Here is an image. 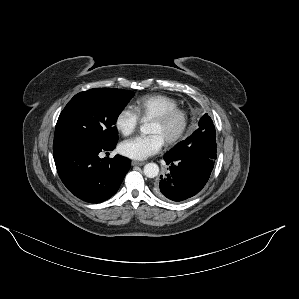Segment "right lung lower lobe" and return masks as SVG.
<instances>
[{
	"label": "right lung lower lobe",
	"mask_w": 299,
	"mask_h": 299,
	"mask_svg": "<svg viewBox=\"0 0 299 299\" xmlns=\"http://www.w3.org/2000/svg\"><path fill=\"white\" fill-rule=\"evenodd\" d=\"M101 148L73 145L53 152L57 172L66 188L78 198L100 203L113 196L130 168V160L116 155L99 158Z\"/></svg>",
	"instance_id": "1"
}]
</instances>
